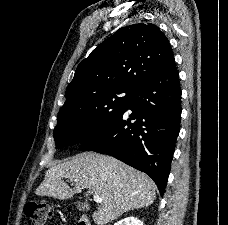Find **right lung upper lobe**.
Instances as JSON below:
<instances>
[{"label":"right lung upper lobe","instance_id":"right-lung-upper-lobe-1","mask_svg":"<svg viewBox=\"0 0 228 225\" xmlns=\"http://www.w3.org/2000/svg\"><path fill=\"white\" fill-rule=\"evenodd\" d=\"M172 58L169 41L156 25L122 27L78 65L65 104L113 85L135 89Z\"/></svg>","mask_w":228,"mask_h":225}]
</instances>
